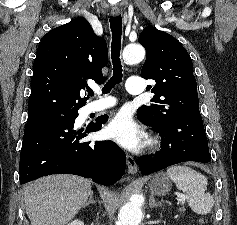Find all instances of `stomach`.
<instances>
[{
	"instance_id": "stomach-1",
	"label": "stomach",
	"mask_w": 237,
	"mask_h": 225,
	"mask_svg": "<svg viewBox=\"0 0 237 225\" xmlns=\"http://www.w3.org/2000/svg\"><path fill=\"white\" fill-rule=\"evenodd\" d=\"M148 186L152 194L164 196L170 192L172 184L164 173H159L148 182Z\"/></svg>"
}]
</instances>
